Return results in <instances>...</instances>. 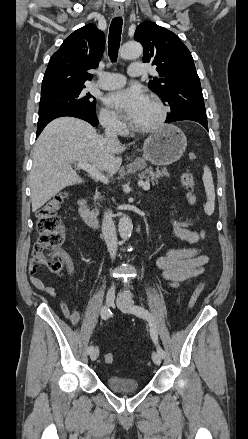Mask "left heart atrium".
Listing matches in <instances>:
<instances>
[{
    "instance_id": "left-heart-atrium-1",
    "label": "left heart atrium",
    "mask_w": 248,
    "mask_h": 439,
    "mask_svg": "<svg viewBox=\"0 0 248 439\" xmlns=\"http://www.w3.org/2000/svg\"><path fill=\"white\" fill-rule=\"evenodd\" d=\"M106 104L135 122L143 112L148 98L139 87H131L112 92L105 98Z\"/></svg>"
}]
</instances>
